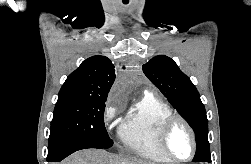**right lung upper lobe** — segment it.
I'll return each mask as SVG.
<instances>
[{
  "label": "right lung upper lobe",
  "instance_id": "right-lung-upper-lobe-1",
  "mask_svg": "<svg viewBox=\"0 0 251 164\" xmlns=\"http://www.w3.org/2000/svg\"><path fill=\"white\" fill-rule=\"evenodd\" d=\"M115 80L114 65L105 56H93L81 63L71 73L59 96H84L106 98Z\"/></svg>",
  "mask_w": 251,
  "mask_h": 164
}]
</instances>
